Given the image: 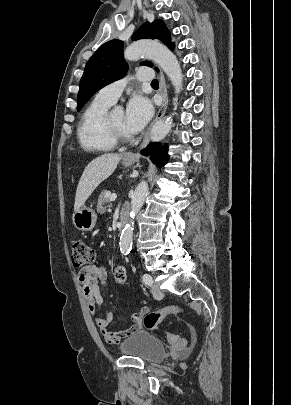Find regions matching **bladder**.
I'll use <instances>...</instances> for the list:
<instances>
[{"label":"bladder","instance_id":"31cf9c89","mask_svg":"<svg viewBox=\"0 0 291 405\" xmlns=\"http://www.w3.org/2000/svg\"><path fill=\"white\" fill-rule=\"evenodd\" d=\"M124 355L139 358L147 363L163 360L167 354L164 343L150 332L141 330L131 334L120 344Z\"/></svg>","mask_w":291,"mask_h":405}]
</instances>
